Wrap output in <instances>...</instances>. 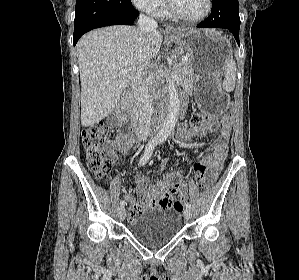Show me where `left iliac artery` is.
<instances>
[{
    "label": "left iliac artery",
    "mask_w": 299,
    "mask_h": 280,
    "mask_svg": "<svg viewBox=\"0 0 299 280\" xmlns=\"http://www.w3.org/2000/svg\"><path fill=\"white\" fill-rule=\"evenodd\" d=\"M160 142H162V141H160ZM186 208H189V209L191 208V204L189 202L186 203Z\"/></svg>",
    "instance_id": "44dca946"
}]
</instances>
